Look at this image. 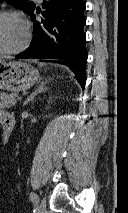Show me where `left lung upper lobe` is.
<instances>
[{"label":"left lung upper lobe","instance_id":"obj_1","mask_svg":"<svg viewBox=\"0 0 128 213\" xmlns=\"http://www.w3.org/2000/svg\"><path fill=\"white\" fill-rule=\"evenodd\" d=\"M0 1H7L8 3L12 4L13 6L19 7L26 13H30L35 5L29 0H0Z\"/></svg>","mask_w":128,"mask_h":213}]
</instances>
